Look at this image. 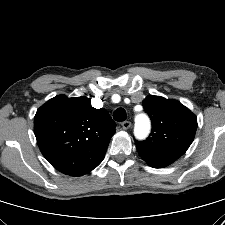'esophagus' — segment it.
Returning a JSON list of instances; mask_svg holds the SVG:
<instances>
[{"mask_svg":"<svg viewBox=\"0 0 225 225\" xmlns=\"http://www.w3.org/2000/svg\"><path fill=\"white\" fill-rule=\"evenodd\" d=\"M121 125H122V128L124 130H127V129H129L131 127V122L130 121H124V122H122Z\"/></svg>","mask_w":225,"mask_h":225,"instance_id":"1","label":"esophagus"}]
</instances>
